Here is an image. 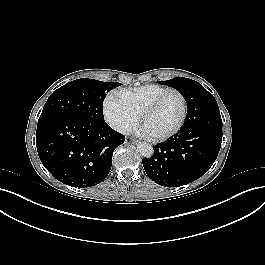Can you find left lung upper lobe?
I'll return each instance as SVG.
<instances>
[{
    "label": "left lung upper lobe",
    "mask_w": 265,
    "mask_h": 265,
    "mask_svg": "<svg viewBox=\"0 0 265 265\" xmlns=\"http://www.w3.org/2000/svg\"><path fill=\"white\" fill-rule=\"evenodd\" d=\"M160 84L168 85L170 87L177 89L185 98V100L187 102V106L191 102L192 93L197 88L203 87L200 83H198L192 79L184 78V77H177V78H173L171 80L161 81ZM189 118L191 119V117L186 116V120Z\"/></svg>",
    "instance_id": "obj_1"
}]
</instances>
